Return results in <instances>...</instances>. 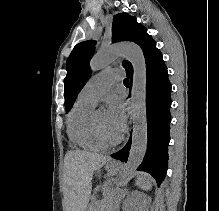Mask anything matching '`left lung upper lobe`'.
<instances>
[{
  "mask_svg": "<svg viewBox=\"0 0 219 211\" xmlns=\"http://www.w3.org/2000/svg\"><path fill=\"white\" fill-rule=\"evenodd\" d=\"M112 41H132L138 44L143 51L145 60L156 50V42L147 30L136 21V18L126 13L117 14L112 24ZM95 41H84L78 43L67 59V75L64 80L65 109L68 112L73 106L78 93L87 82L91 70L90 59L95 51ZM126 74L133 71L130 62L123 61Z\"/></svg>",
  "mask_w": 219,
  "mask_h": 211,
  "instance_id": "left-lung-upper-lobe-1",
  "label": "left lung upper lobe"
}]
</instances>
